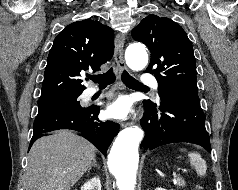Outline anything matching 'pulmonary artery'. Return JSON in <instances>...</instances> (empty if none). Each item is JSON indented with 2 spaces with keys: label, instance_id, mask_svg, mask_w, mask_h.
<instances>
[{
  "label": "pulmonary artery",
  "instance_id": "e3ab8cb5",
  "mask_svg": "<svg viewBox=\"0 0 238 190\" xmlns=\"http://www.w3.org/2000/svg\"><path fill=\"white\" fill-rule=\"evenodd\" d=\"M142 83L147 85V86H152L154 87L155 89H157V81L155 80L154 77L150 76V75H146L142 78ZM98 92L97 89L95 88H89L85 91V97L86 98H90L92 97L93 95H95L96 93Z\"/></svg>",
  "mask_w": 238,
  "mask_h": 190
}]
</instances>
